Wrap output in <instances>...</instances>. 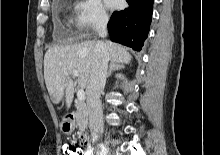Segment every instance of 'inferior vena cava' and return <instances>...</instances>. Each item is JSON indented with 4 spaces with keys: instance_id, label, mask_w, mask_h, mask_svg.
I'll return each instance as SVG.
<instances>
[{
    "instance_id": "1",
    "label": "inferior vena cava",
    "mask_w": 220,
    "mask_h": 155,
    "mask_svg": "<svg viewBox=\"0 0 220 155\" xmlns=\"http://www.w3.org/2000/svg\"><path fill=\"white\" fill-rule=\"evenodd\" d=\"M108 16L100 14L97 20L96 31L101 38L107 36ZM95 58L92 63L89 83L86 88L87 106L89 112V127L93 138L103 134V112L100 95L105 87L109 53L106 45L99 42L95 46Z\"/></svg>"
}]
</instances>
